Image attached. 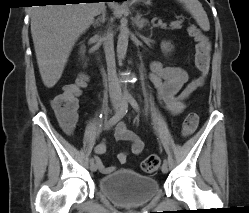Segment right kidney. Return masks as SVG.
<instances>
[{"label": "right kidney", "mask_w": 249, "mask_h": 213, "mask_svg": "<svg viewBox=\"0 0 249 213\" xmlns=\"http://www.w3.org/2000/svg\"><path fill=\"white\" fill-rule=\"evenodd\" d=\"M84 52H85L84 47H81V53L84 54Z\"/></svg>", "instance_id": "ca27d5eb"}]
</instances>
